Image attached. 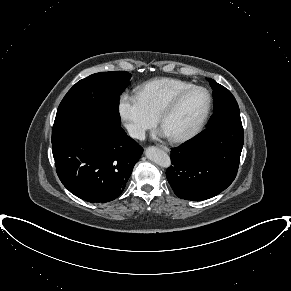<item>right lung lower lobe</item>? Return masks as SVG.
Here are the masks:
<instances>
[{"label": "right lung lower lobe", "instance_id": "1", "mask_svg": "<svg viewBox=\"0 0 291 291\" xmlns=\"http://www.w3.org/2000/svg\"><path fill=\"white\" fill-rule=\"evenodd\" d=\"M62 184L89 202H108L124 190L143 148L119 126L78 128L52 143Z\"/></svg>", "mask_w": 291, "mask_h": 291}]
</instances>
